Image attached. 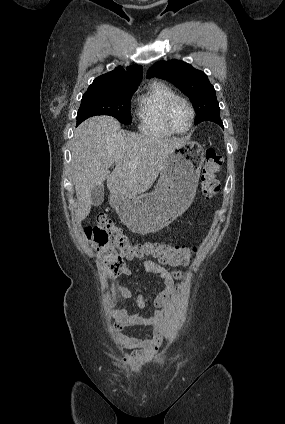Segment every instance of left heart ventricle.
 Here are the masks:
<instances>
[{
  "label": "left heart ventricle",
  "instance_id": "obj_1",
  "mask_svg": "<svg viewBox=\"0 0 285 424\" xmlns=\"http://www.w3.org/2000/svg\"><path fill=\"white\" fill-rule=\"evenodd\" d=\"M170 121L177 130H185L190 123V111L183 102H177L171 109Z\"/></svg>",
  "mask_w": 285,
  "mask_h": 424
}]
</instances>
